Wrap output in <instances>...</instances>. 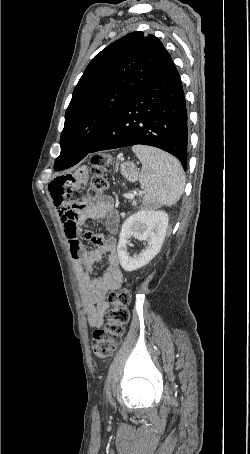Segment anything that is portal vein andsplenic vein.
Masks as SVG:
<instances>
[{
    "instance_id": "1",
    "label": "portal vein and splenic vein",
    "mask_w": 250,
    "mask_h": 454,
    "mask_svg": "<svg viewBox=\"0 0 250 454\" xmlns=\"http://www.w3.org/2000/svg\"><path fill=\"white\" fill-rule=\"evenodd\" d=\"M140 193H142V191ZM124 197L128 198V199H133L134 195L133 194H124Z\"/></svg>"
}]
</instances>
